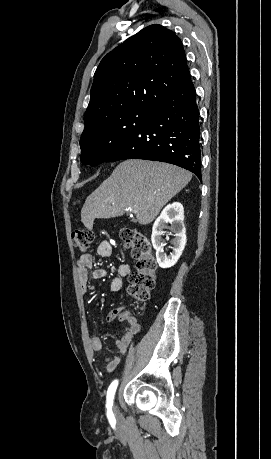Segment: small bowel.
I'll use <instances>...</instances> for the list:
<instances>
[{
  "instance_id": "c3829d8e",
  "label": "small bowel",
  "mask_w": 271,
  "mask_h": 459,
  "mask_svg": "<svg viewBox=\"0 0 271 459\" xmlns=\"http://www.w3.org/2000/svg\"><path fill=\"white\" fill-rule=\"evenodd\" d=\"M96 253L99 257L106 258L112 254V245L108 240H102L98 246ZM77 273L80 281L81 290L83 293L88 291V280L90 277L94 279L103 278L106 276L104 269H97L93 265V257L91 254H83L77 262ZM131 274V268L128 265H121L118 268L117 276L110 283V291L117 292L122 288L123 278ZM115 318L125 322V332L123 336L116 341V347L121 354H125L132 343L136 334L140 331V325L134 316L122 312L120 308L114 309L108 313L107 322H111ZM91 348L93 351L102 349V340L98 337L91 339ZM106 364V372L111 374L115 372L120 364V358L116 355L107 356L104 358Z\"/></svg>"
}]
</instances>
